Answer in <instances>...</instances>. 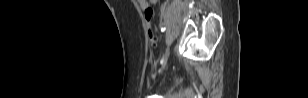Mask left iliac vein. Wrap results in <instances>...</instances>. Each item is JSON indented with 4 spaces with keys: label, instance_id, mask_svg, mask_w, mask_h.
I'll return each mask as SVG.
<instances>
[{
    "label": "left iliac vein",
    "instance_id": "4c4485c4",
    "mask_svg": "<svg viewBox=\"0 0 308 98\" xmlns=\"http://www.w3.org/2000/svg\"><path fill=\"white\" fill-rule=\"evenodd\" d=\"M169 54H170V50H169V48H167L166 51H165V54L163 55L162 62H161V67L159 69V72H161L162 69L164 68V66H165V64H166V62L168 60Z\"/></svg>",
    "mask_w": 308,
    "mask_h": 98
}]
</instances>
